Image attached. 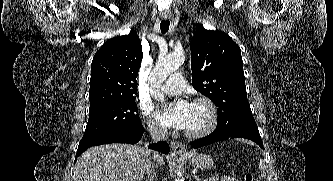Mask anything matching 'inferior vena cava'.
<instances>
[{
  "instance_id": "inferior-vena-cava-1",
  "label": "inferior vena cava",
  "mask_w": 333,
  "mask_h": 181,
  "mask_svg": "<svg viewBox=\"0 0 333 181\" xmlns=\"http://www.w3.org/2000/svg\"><path fill=\"white\" fill-rule=\"evenodd\" d=\"M149 133H150V136H151V139L153 142L167 140V130L164 127L156 126V125L150 126ZM157 156L158 155L154 153V160L157 158ZM153 168H154V164H151V162H149L148 167L146 169V172L148 175L150 173H154V175H155V171Z\"/></svg>"
}]
</instances>
